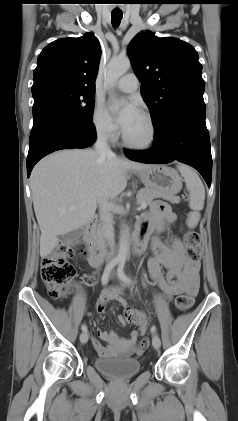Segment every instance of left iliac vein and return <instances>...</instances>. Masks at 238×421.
<instances>
[{"label":"left iliac vein","mask_w":238,"mask_h":421,"mask_svg":"<svg viewBox=\"0 0 238 421\" xmlns=\"http://www.w3.org/2000/svg\"><path fill=\"white\" fill-rule=\"evenodd\" d=\"M152 345H153V347L155 348V349H159L160 348V346H161V341H160V338H159V336L158 335H153V338H152Z\"/></svg>","instance_id":"obj_1"}]
</instances>
